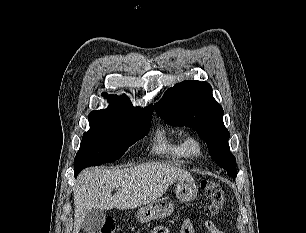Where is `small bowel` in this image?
I'll return each instance as SVG.
<instances>
[{"mask_svg": "<svg viewBox=\"0 0 306 233\" xmlns=\"http://www.w3.org/2000/svg\"><path fill=\"white\" fill-rule=\"evenodd\" d=\"M205 227L207 229V233H225L223 230L218 228L213 222L206 221ZM156 230H159V233H170L169 229L165 227L157 228ZM181 233H194V226L192 221L189 218H186L183 222Z\"/></svg>", "mask_w": 306, "mask_h": 233, "instance_id": "c3829d8e", "label": "small bowel"}]
</instances>
